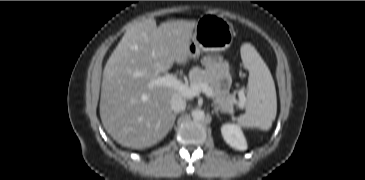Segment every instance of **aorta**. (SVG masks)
<instances>
[{"label": "aorta", "instance_id": "762f6f07", "mask_svg": "<svg viewBox=\"0 0 365 180\" xmlns=\"http://www.w3.org/2000/svg\"><path fill=\"white\" fill-rule=\"evenodd\" d=\"M192 117L194 120L202 121L205 119V113L201 109H196L192 112Z\"/></svg>", "mask_w": 365, "mask_h": 180}]
</instances>
